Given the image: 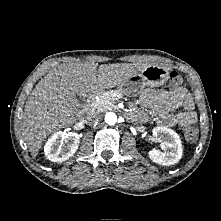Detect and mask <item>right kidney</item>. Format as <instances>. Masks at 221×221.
I'll list each match as a JSON object with an SVG mask.
<instances>
[{
  "instance_id": "obj_1",
  "label": "right kidney",
  "mask_w": 221,
  "mask_h": 221,
  "mask_svg": "<svg viewBox=\"0 0 221 221\" xmlns=\"http://www.w3.org/2000/svg\"><path fill=\"white\" fill-rule=\"evenodd\" d=\"M80 143L78 133L59 131L54 133L44 146L45 157L53 162L68 160L77 151Z\"/></svg>"
}]
</instances>
